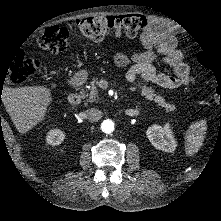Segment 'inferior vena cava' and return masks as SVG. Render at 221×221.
Returning <instances> with one entry per match:
<instances>
[{"label":"inferior vena cava","mask_w":221,"mask_h":221,"mask_svg":"<svg viewBox=\"0 0 221 221\" xmlns=\"http://www.w3.org/2000/svg\"><path fill=\"white\" fill-rule=\"evenodd\" d=\"M86 117L90 122H98L102 117L103 113L99 108H90L86 112Z\"/></svg>","instance_id":"inferior-vena-cava-1"}]
</instances>
